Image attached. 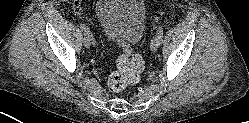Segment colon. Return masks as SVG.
<instances>
[{"label":"colon","mask_w":249,"mask_h":123,"mask_svg":"<svg viewBox=\"0 0 249 123\" xmlns=\"http://www.w3.org/2000/svg\"><path fill=\"white\" fill-rule=\"evenodd\" d=\"M144 62L129 46H125L117 60V69L109 75L108 87L113 92L124 90L128 85L140 79Z\"/></svg>","instance_id":"1"}]
</instances>
